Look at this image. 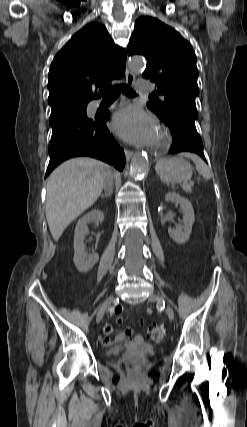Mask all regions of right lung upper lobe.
I'll use <instances>...</instances> for the list:
<instances>
[{"label": "right lung upper lobe", "instance_id": "right-lung-upper-lobe-1", "mask_svg": "<svg viewBox=\"0 0 247 427\" xmlns=\"http://www.w3.org/2000/svg\"><path fill=\"white\" fill-rule=\"evenodd\" d=\"M126 51L114 44L107 29L89 24L72 36L54 57L48 76L51 112L75 106H87L100 93L97 88L111 87L113 79L123 77Z\"/></svg>", "mask_w": 247, "mask_h": 427}]
</instances>
